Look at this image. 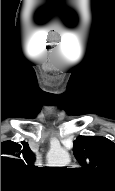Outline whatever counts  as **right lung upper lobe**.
<instances>
[{"label": "right lung upper lobe", "instance_id": "cb5924a9", "mask_svg": "<svg viewBox=\"0 0 115 191\" xmlns=\"http://www.w3.org/2000/svg\"><path fill=\"white\" fill-rule=\"evenodd\" d=\"M34 161V153L30 150L27 142H1V181L19 179L33 168Z\"/></svg>", "mask_w": 115, "mask_h": 191}]
</instances>
